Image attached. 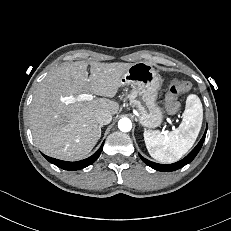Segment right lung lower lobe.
I'll return each mask as SVG.
<instances>
[{"instance_id": "98d812e1", "label": "right lung lower lobe", "mask_w": 231, "mask_h": 231, "mask_svg": "<svg viewBox=\"0 0 231 231\" xmlns=\"http://www.w3.org/2000/svg\"><path fill=\"white\" fill-rule=\"evenodd\" d=\"M103 144L100 146V148L89 158L81 160V161H77V162H68V161H62V160H58L55 158H51L49 156H45L44 157L52 164L58 166L59 168H62L64 170H69V171H73V170H79L82 168H85L89 165H91L101 154L102 148H103Z\"/></svg>"}]
</instances>
